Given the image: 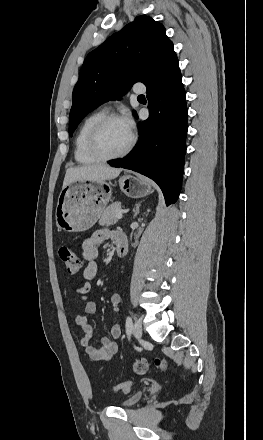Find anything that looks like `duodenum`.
I'll return each mask as SVG.
<instances>
[{"instance_id":"1","label":"duodenum","mask_w":263,"mask_h":440,"mask_svg":"<svg viewBox=\"0 0 263 440\" xmlns=\"http://www.w3.org/2000/svg\"><path fill=\"white\" fill-rule=\"evenodd\" d=\"M128 251V245L126 238H120L117 241V256L118 257H124L127 254Z\"/></svg>"}]
</instances>
